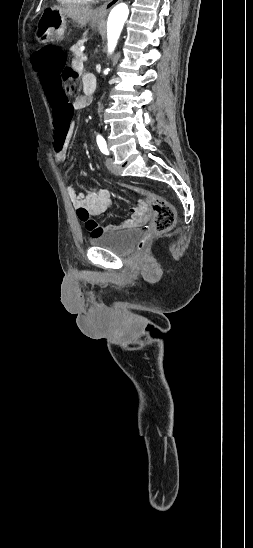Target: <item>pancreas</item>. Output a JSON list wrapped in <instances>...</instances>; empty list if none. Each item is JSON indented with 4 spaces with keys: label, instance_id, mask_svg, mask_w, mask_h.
<instances>
[{
    "label": "pancreas",
    "instance_id": "obj_1",
    "mask_svg": "<svg viewBox=\"0 0 253 548\" xmlns=\"http://www.w3.org/2000/svg\"><path fill=\"white\" fill-rule=\"evenodd\" d=\"M82 44L83 43L80 41L76 45L71 47V51L75 57V60L77 61H81L82 60L81 58L84 55L83 52L81 51Z\"/></svg>",
    "mask_w": 253,
    "mask_h": 548
}]
</instances>
